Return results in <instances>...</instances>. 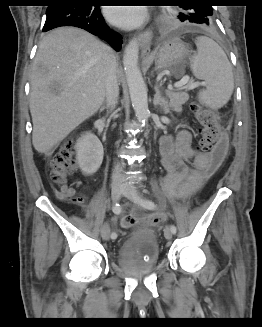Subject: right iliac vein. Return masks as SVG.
<instances>
[{
	"label": "right iliac vein",
	"mask_w": 262,
	"mask_h": 327,
	"mask_svg": "<svg viewBox=\"0 0 262 327\" xmlns=\"http://www.w3.org/2000/svg\"><path fill=\"white\" fill-rule=\"evenodd\" d=\"M122 193V185L120 181L113 183L111 187V198L114 202L118 201ZM101 236L104 240H109L110 238V227L108 224H104L101 228Z\"/></svg>",
	"instance_id": "1"
}]
</instances>
